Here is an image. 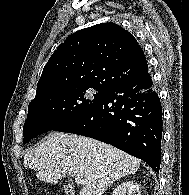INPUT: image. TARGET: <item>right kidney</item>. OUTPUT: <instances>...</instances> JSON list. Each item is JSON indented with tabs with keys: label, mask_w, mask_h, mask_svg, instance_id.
Segmentation results:
<instances>
[{
	"label": "right kidney",
	"mask_w": 189,
	"mask_h": 195,
	"mask_svg": "<svg viewBox=\"0 0 189 195\" xmlns=\"http://www.w3.org/2000/svg\"><path fill=\"white\" fill-rule=\"evenodd\" d=\"M141 195L140 187L133 181H126L118 185L113 191V195Z\"/></svg>",
	"instance_id": "obj_1"
}]
</instances>
